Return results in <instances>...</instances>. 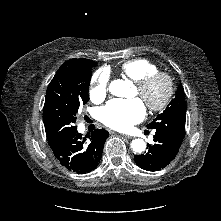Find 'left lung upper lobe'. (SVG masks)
<instances>
[{"instance_id": "left-lung-upper-lobe-1", "label": "left lung upper lobe", "mask_w": 221, "mask_h": 221, "mask_svg": "<svg viewBox=\"0 0 221 221\" xmlns=\"http://www.w3.org/2000/svg\"><path fill=\"white\" fill-rule=\"evenodd\" d=\"M186 103L184 100V89L180 84L174 99L167 105L166 109L159 114L153 122L147 125L148 129L164 128L185 136Z\"/></svg>"}]
</instances>
